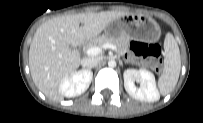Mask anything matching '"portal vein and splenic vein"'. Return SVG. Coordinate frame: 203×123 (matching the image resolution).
Listing matches in <instances>:
<instances>
[{
	"mask_svg": "<svg viewBox=\"0 0 203 123\" xmlns=\"http://www.w3.org/2000/svg\"><path fill=\"white\" fill-rule=\"evenodd\" d=\"M102 48L106 49V48H109V49H116V47L111 44V43H104L103 45H101L100 47L96 46V47H91L87 50V54L88 55H98Z\"/></svg>",
	"mask_w": 203,
	"mask_h": 123,
	"instance_id": "18ae733b",
	"label": "portal vein and splenic vein"
}]
</instances>
